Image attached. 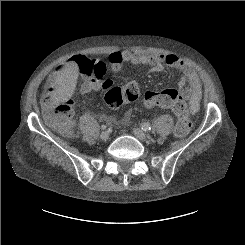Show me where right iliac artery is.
<instances>
[{
    "label": "right iliac artery",
    "instance_id": "right-iliac-artery-1",
    "mask_svg": "<svg viewBox=\"0 0 245 245\" xmlns=\"http://www.w3.org/2000/svg\"><path fill=\"white\" fill-rule=\"evenodd\" d=\"M106 128H107L106 125H102V126H101V129H103V130L106 129Z\"/></svg>",
    "mask_w": 245,
    "mask_h": 245
}]
</instances>
